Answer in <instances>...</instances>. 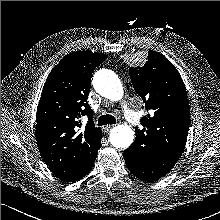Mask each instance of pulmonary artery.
Listing matches in <instances>:
<instances>
[{"label": "pulmonary artery", "instance_id": "pulmonary-artery-1", "mask_svg": "<svg viewBox=\"0 0 220 220\" xmlns=\"http://www.w3.org/2000/svg\"><path fill=\"white\" fill-rule=\"evenodd\" d=\"M121 108H122V113L127 120H129L134 125L139 124L138 115L135 112H133L126 103H123Z\"/></svg>", "mask_w": 220, "mask_h": 220}]
</instances>
